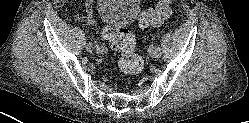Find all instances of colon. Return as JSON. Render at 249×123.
<instances>
[{"instance_id": "1", "label": "colon", "mask_w": 249, "mask_h": 123, "mask_svg": "<svg viewBox=\"0 0 249 123\" xmlns=\"http://www.w3.org/2000/svg\"><path fill=\"white\" fill-rule=\"evenodd\" d=\"M172 0H160L141 14L140 26L147 28L150 25L160 24L171 13ZM104 35L109 40L112 49L120 53L119 67L126 74L138 73L143 67L142 58L135 53L133 35L124 28L108 27Z\"/></svg>"}]
</instances>
